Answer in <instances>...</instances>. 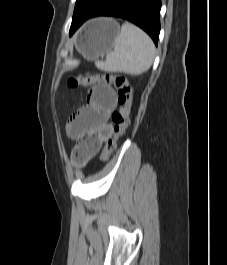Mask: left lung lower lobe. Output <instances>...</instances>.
I'll return each instance as SVG.
<instances>
[{
  "label": "left lung lower lobe",
  "instance_id": "left-lung-lower-lobe-1",
  "mask_svg": "<svg viewBox=\"0 0 227 265\" xmlns=\"http://www.w3.org/2000/svg\"><path fill=\"white\" fill-rule=\"evenodd\" d=\"M161 0H105L89 17L70 28V36L89 18L113 16L126 19L144 31L157 45L160 32Z\"/></svg>",
  "mask_w": 227,
  "mask_h": 265
}]
</instances>
